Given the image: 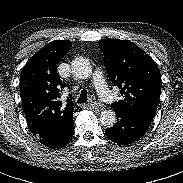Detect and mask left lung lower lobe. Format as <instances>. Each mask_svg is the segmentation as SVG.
Wrapping results in <instances>:
<instances>
[{
	"label": "left lung lower lobe",
	"mask_w": 183,
	"mask_h": 183,
	"mask_svg": "<svg viewBox=\"0 0 183 183\" xmlns=\"http://www.w3.org/2000/svg\"><path fill=\"white\" fill-rule=\"evenodd\" d=\"M115 112L117 123L105 130L106 136L114 143L129 145L139 140L147 132L151 122L122 111Z\"/></svg>",
	"instance_id": "obj_1"
}]
</instances>
